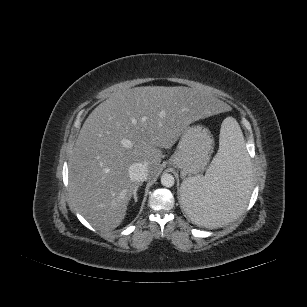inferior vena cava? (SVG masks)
Wrapping results in <instances>:
<instances>
[{"mask_svg": "<svg viewBox=\"0 0 307 307\" xmlns=\"http://www.w3.org/2000/svg\"><path fill=\"white\" fill-rule=\"evenodd\" d=\"M128 173L132 181L142 182L148 177V167L143 163H133L130 165Z\"/></svg>", "mask_w": 307, "mask_h": 307, "instance_id": "602c4592", "label": "inferior vena cava"}]
</instances>
